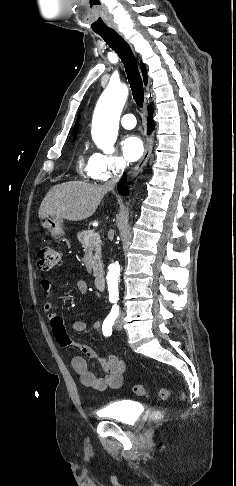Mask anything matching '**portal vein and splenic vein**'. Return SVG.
Returning <instances> with one entry per match:
<instances>
[{
    "label": "portal vein and splenic vein",
    "instance_id": "portal-vein-and-splenic-vein-1",
    "mask_svg": "<svg viewBox=\"0 0 236 486\" xmlns=\"http://www.w3.org/2000/svg\"><path fill=\"white\" fill-rule=\"evenodd\" d=\"M95 236H96V240H97V241H100V236H99V234H98V233H95Z\"/></svg>",
    "mask_w": 236,
    "mask_h": 486
}]
</instances>
